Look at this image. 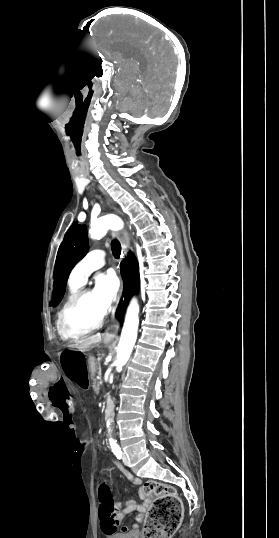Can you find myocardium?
<instances>
[{
  "mask_svg": "<svg viewBox=\"0 0 279 538\" xmlns=\"http://www.w3.org/2000/svg\"><path fill=\"white\" fill-rule=\"evenodd\" d=\"M103 234V232L101 234H98L97 236H101ZM93 290L91 289H80L77 294L68 302V304L65 306V308L63 309L61 315H60V318H59V331L61 333V335L63 337H65L66 339H70V340H78L80 338H83L87 335H90L92 333H94L95 331H97L105 317H106V313H104L98 320L97 322L92 325L91 327L89 328H86L84 330H81V331H75L73 330L70 326H69V316H70V313L72 312V310L74 308H76L78 305H80L84 300L85 298L87 297V295L92 292Z\"/></svg>",
  "mask_w": 279,
  "mask_h": 538,
  "instance_id": "1",
  "label": "myocardium"
}]
</instances>
